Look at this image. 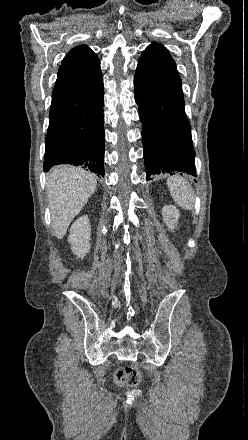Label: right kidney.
Returning <instances> with one entry per match:
<instances>
[{
    "instance_id": "right-kidney-1",
    "label": "right kidney",
    "mask_w": 248,
    "mask_h": 440,
    "mask_svg": "<svg viewBox=\"0 0 248 440\" xmlns=\"http://www.w3.org/2000/svg\"><path fill=\"white\" fill-rule=\"evenodd\" d=\"M90 235L91 228L89 218L87 215H83L72 224L68 237L72 252L78 258H83L90 251Z\"/></svg>"
}]
</instances>
